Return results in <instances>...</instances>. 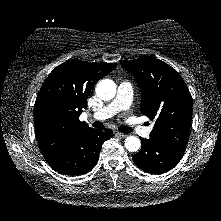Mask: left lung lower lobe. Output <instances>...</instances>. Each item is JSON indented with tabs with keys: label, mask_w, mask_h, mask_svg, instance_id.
Listing matches in <instances>:
<instances>
[{
	"label": "left lung lower lobe",
	"mask_w": 221,
	"mask_h": 221,
	"mask_svg": "<svg viewBox=\"0 0 221 221\" xmlns=\"http://www.w3.org/2000/svg\"><path fill=\"white\" fill-rule=\"evenodd\" d=\"M140 151L133 155V161L143 171L161 174L174 168L184 155V148L157 142L153 139H141Z\"/></svg>",
	"instance_id": "left-lung-lower-lobe-1"
}]
</instances>
